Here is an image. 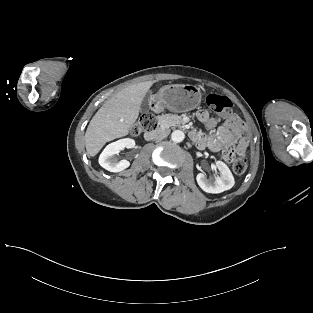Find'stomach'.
<instances>
[{
  "label": "stomach",
  "mask_w": 313,
  "mask_h": 313,
  "mask_svg": "<svg viewBox=\"0 0 313 313\" xmlns=\"http://www.w3.org/2000/svg\"><path fill=\"white\" fill-rule=\"evenodd\" d=\"M202 99L200 90L192 85H168L162 87L152 99L156 109H168L173 112H187L197 108Z\"/></svg>",
  "instance_id": "obj_1"
}]
</instances>
